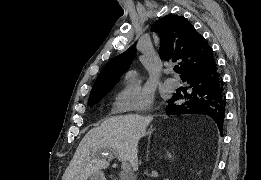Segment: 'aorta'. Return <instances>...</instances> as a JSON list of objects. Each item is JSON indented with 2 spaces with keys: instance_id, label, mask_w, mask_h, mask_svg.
<instances>
[{
  "instance_id": "aorta-1",
  "label": "aorta",
  "mask_w": 261,
  "mask_h": 180,
  "mask_svg": "<svg viewBox=\"0 0 261 180\" xmlns=\"http://www.w3.org/2000/svg\"><path fill=\"white\" fill-rule=\"evenodd\" d=\"M136 78V72L135 71H130L126 75V79L129 83H133Z\"/></svg>"
}]
</instances>
